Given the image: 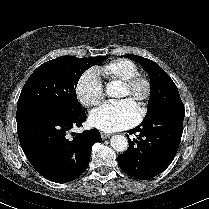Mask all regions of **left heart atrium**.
Segmentation results:
<instances>
[{
    "label": "left heart atrium",
    "instance_id": "left-heart-atrium-1",
    "mask_svg": "<svg viewBox=\"0 0 209 209\" xmlns=\"http://www.w3.org/2000/svg\"><path fill=\"white\" fill-rule=\"evenodd\" d=\"M138 119V112L127 101L106 104L89 116V124L103 132L111 133L131 127Z\"/></svg>",
    "mask_w": 209,
    "mask_h": 209
}]
</instances>
